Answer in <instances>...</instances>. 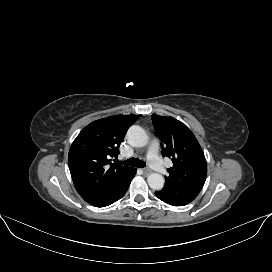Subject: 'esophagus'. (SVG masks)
I'll list each match as a JSON object with an SVG mask.
<instances>
[{
    "mask_svg": "<svg viewBox=\"0 0 272 272\" xmlns=\"http://www.w3.org/2000/svg\"><path fill=\"white\" fill-rule=\"evenodd\" d=\"M143 173L148 175L151 173V170L150 169H143Z\"/></svg>",
    "mask_w": 272,
    "mask_h": 272,
    "instance_id": "esophagus-1",
    "label": "esophagus"
}]
</instances>
